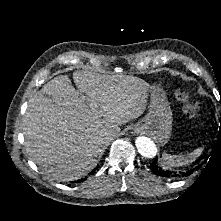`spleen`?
<instances>
[{"label":"spleen","instance_id":"1","mask_svg":"<svg viewBox=\"0 0 221 221\" xmlns=\"http://www.w3.org/2000/svg\"><path fill=\"white\" fill-rule=\"evenodd\" d=\"M202 148H197L193 152L189 153L188 155H170L163 153L162 160L166 167H180L183 165H188L196 160L202 153Z\"/></svg>","mask_w":221,"mask_h":221}]
</instances>
